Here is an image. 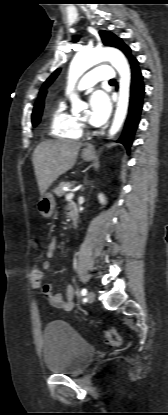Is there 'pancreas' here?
<instances>
[{"mask_svg":"<svg viewBox=\"0 0 168 415\" xmlns=\"http://www.w3.org/2000/svg\"><path fill=\"white\" fill-rule=\"evenodd\" d=\"M73 185L74 184L71 182H61L59 186L54 190V192L58 197H61L66 194V192L63 190V187H72Z\"/></svg>","mask_w":168,"mask_h":415,"instance_id":"pancreas-1","label":"pancreas"}]
</instances>
